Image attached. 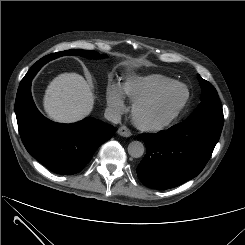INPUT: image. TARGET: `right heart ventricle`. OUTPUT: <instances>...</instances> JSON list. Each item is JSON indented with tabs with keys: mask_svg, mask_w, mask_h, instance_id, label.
I'll return each mask as SVG.
<instances>
[{
	"mask_svg": "<svg viewBox=\"0 0 245 245\" xmlns=\"http://www.w3.org/2000/svg\"><path fill=\"white\" fill-rule=\"evenodd\" d=\"M174 80L160 75L150 74L145 76L132 77L125 80L121 85L122 93L131 102L150 95L165 86L173 83Z\"/></svg>",
	"mask_w": 245,
	"mask_h": 245,
	"instance_id": "right-heart-ventricle-1",
	"label": "right heart ventricle"
}]
</instances>
